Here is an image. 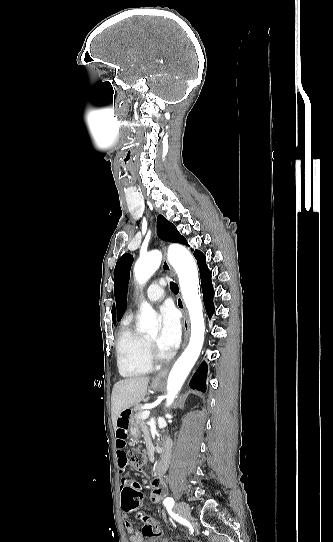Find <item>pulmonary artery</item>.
Masks as SVG:
<instances>
[{"instance_id":"obj_1","label":"pulmonary artery","mask_w":333,"mask_h":542,"mask_svg":"<svg viewBox=\"0 0 333 542\" xmlns=\"http://www.w3.org/2000/svg\"><path fill=\"white\" fill-rule=\"evenodd\" d=\"M162 279L160 276L157 278ZM165 297V293L161 291V287L156 284H151L146 292V298L151 303L161 302Z\"/></svg>"}]
</instances>
